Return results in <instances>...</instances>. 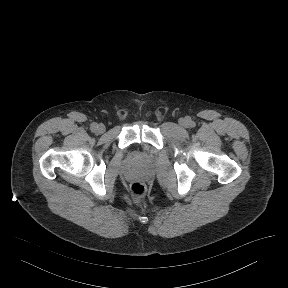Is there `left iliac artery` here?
<instances>
[{
    "label": "left iliac artery",
    "mask_w": 288,
    "mask_h": 288,
    "mask_svg": "<svg viewBox=\"0 0 288 288\" xmlns=\"http://www.w3.org/2000/svg\"><path fill=\"white\" fill-rule=\"evenodd\" d=\"M190 126H191V127H194V126H195V123L191 121V122H190Z\"/></svg>",
    "instance_id": "44dca946"
}]
</instances>
